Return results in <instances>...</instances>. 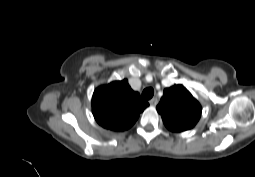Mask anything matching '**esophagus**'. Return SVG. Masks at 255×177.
I'll list each match as a JSON object with an SVG mask.
<instances>
[{
    "mask_svg": "<svg viewBox=\"0 0 255 177\" xmlns=\"http://www.w3.org/2000/svg\"><path fill=\"white\" fill-rule=\"evenodd\" d=\"M157 103H158L157 98H152V99L149 101V104L152 105V106H156Z\"/></svg>",
    "mask_w": 255,
    "mask_h": 177,
    "instance_id": "esophagus-1",
    "label": "esophagus"
}]
</instances>
